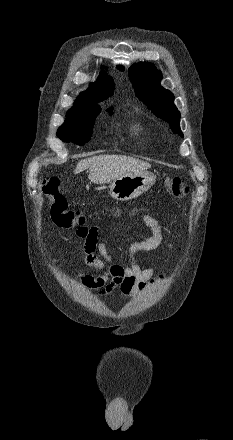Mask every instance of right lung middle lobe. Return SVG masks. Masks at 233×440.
<instances>
[{
	"label": "right lung middle lobe",
	"instance_id": "dd1d6c3e",
	"mask_svg": "<svg viewBox=\"0 0 233 440\" xmlns=\"http://www.w3.org/2000/svg\"><path fill=\"white\" fill-rule=\"evenodd\" d=\"M100 108H72L67 119L58 129L57 136L64 142L83 144L89 141L95 117ZM110 114L113 110H108Z\"/></svg>",
	"mask_w": 233,
	"mask_h": 440
}]
</instances>
